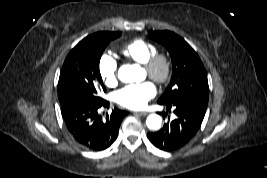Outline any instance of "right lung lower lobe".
Returning a JSON list of instances; mask_svg holds the SVG:
<instances>
[{"mask_svg": "<svg viewBox=\"0 0 267 178\" xmlns=\"http://www.w3.org/2000/svg\"><path fill=\"white\" fill-rule=\"evenodd\" d=\"M61 113L66 127L75 141L82 147L100 151L115 141L126 111L115 108L106 118L98 113L99 108L108 107L109 102L96 101L83 96H71L60 101Z\"/></svg>", "mask_w": 267, "mask_h": 178, "instance_id": "1", "label": "right lung lower lobe"}]
</instances>
